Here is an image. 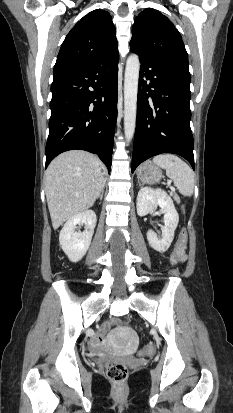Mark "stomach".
I'll return each mask as SVG.
<instances>
[{"instance_id": "1", "label": "stomach", "mask_w": 233, "mask_h": 413, "mask_svg": "<svg viewBox=\"0 0 233 413\" xmlns=\"http://www.w3.org/2000/svg\"><path fill=\"white\" fill-rule=\"evenodd\" d=\"M161 169L151 161L143 163L137 170V178L145 184H155L162 179Z\"/></svg>"}]
</instances>
